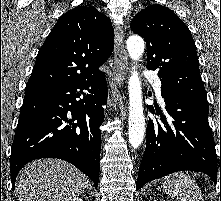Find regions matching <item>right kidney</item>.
<instances>
[{"mask_svg": "<svg viewBox=\"0 0 221 201\" xmlns=\"http://www.w3.org/2000/svg\"><path fill=\"white\" fill-rule=\"evenodd\" d=\"M66 201H83L81 198L74 197V198H69Z\"/></svg>", "mask_w": 221, "mask_h": 201, "instance_id": "obj_1", "label": "right kidney"}]
</instances>
